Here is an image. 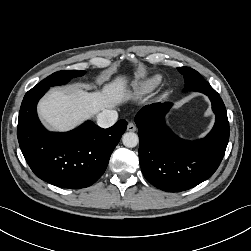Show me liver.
I'll return each instance as SVG.
<instances>
[{
	"mask_svg": "<svg viewBox=\"0 0 251 251\" xmlns=\"http://www.w3.org/2000/svg\"><path fill=\"white\" fill-rule=\"evenodd\" d=\"M131 97L127 76H117L101 91L87 92L80 86L52 89L38 104V113L55 131H68L105 109Z\"/></svg>",
	"mask_w": 251,
	"mask_h": 251,
	"instance_id": "obj_1",
	"label": "liver"
}]
</instances>
